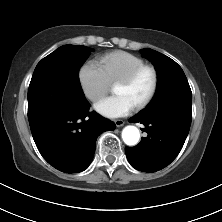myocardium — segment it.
<instances>
[{
	"instance_id": "myocardium-1",
	"label": "myocardium",
	"mask_w": 222,
	"mask_h": 222,
	"mask_svg": "<svg viewBox=\"0 0 222 222\" xmlns=\"http://www.w3.org/2000/svg\"><path fill=\"white\" fill-rule=\"evenodd\" d=\"M144 71H149L151 73V75H152V86H151V89H150L148 95L139 104L136 105L137 110H142L145 107H147L152 102V100L154 99V97L157 93L158 86H159V75H158V72H157L156 68L152 65L143 64V65L137 67L136 69H134L131 73H129L127 76L120 79L116 83V85L117 84L131 85L137 80V78Z\"/></svg>"
}]
</instances>
